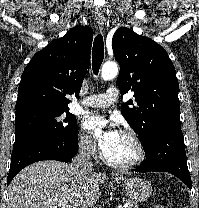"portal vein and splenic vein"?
<instances>
[{"mask_svg":"<svg viewBox=\"0 0 199 208\" xmlns=\"http://www.w3.org/2000/svg\"><path fill=\"white\" fill-rule=\"evenodd\" d=\"M58 206L61 207V208H72L71 206L64 205V204H58ZM123 207H127V204L124 205V206H122V205L117 206V208H123Z\"/></svg>","mask_w":199,"mask_h":208,"instance_id":"portal-vein-and-splenic-vein-1","label":"portal vein and splenic vein"}]
</instances>
